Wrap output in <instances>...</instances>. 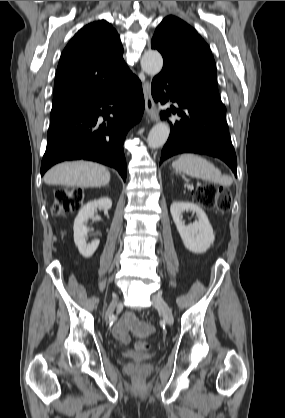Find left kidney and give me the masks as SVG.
I'll return each instance as SVG.
<instances>
[{"mask_svg":"<svg viewBox=\"0 0 285 418\" xmlns=\"http://www.w3.org/2000/svg\"><path fill=\"white\" fill-rule=\"evenodd\" d=\"M196 213L198 220L193 224L185 225L182 221L184 211ZM173 221L177 227L184 246L193 253H204L214 243L213 228L207 215L201 207L195 203L176 201L170 206Z\"/></svg>","mask_w":285,"mask_h":418,"instance_id":"5707ae66","label":"left kidney"}]
</instances>
